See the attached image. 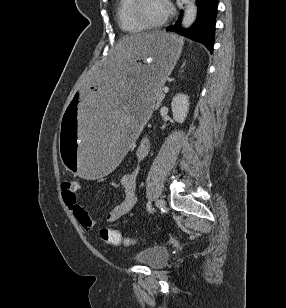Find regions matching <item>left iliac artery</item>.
Masks as SVG:
<instances>
[{
    "label": "left iliac artery",
    "mask_w": 286,
    "mask_h": 308,
    "mask_svg": "<svg viewBox=\"0 0 286 308\" xmlns=\"http://www.w3.org/2000/svg\"><path fill=\"white\" fill-rule=\"evenodd\" d=\"M147 210L149 212H152V207H151V202L150 201L147 203Z\"/></svg>",
    "instance_id": "44dca946"
}]
</instances>
